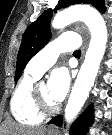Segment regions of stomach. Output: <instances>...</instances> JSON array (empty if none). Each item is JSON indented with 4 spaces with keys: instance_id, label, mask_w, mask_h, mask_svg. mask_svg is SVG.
Masks as SVG:
<instances>
[{
    "instance_id": "1",
    "label": "stomach",
    "mask_w": 112,
    "mask_h": 135,
    "mask_svg": "<svg viewBox=\"0 0 112 135\" xmlns=\"http://www.w3.org/2000/svg\"><path fill=\"white\" fill-rule=\"evenodd\" d=\"M48 135H54L52 132H48Z\"/></svg>"
}]
</instances>
